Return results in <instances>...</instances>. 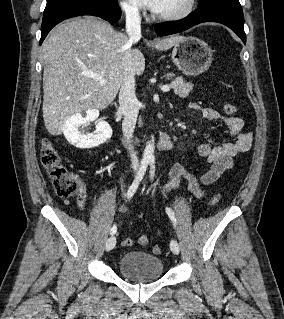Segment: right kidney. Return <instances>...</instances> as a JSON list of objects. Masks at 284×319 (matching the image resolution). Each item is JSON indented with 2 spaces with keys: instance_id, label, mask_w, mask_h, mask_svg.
<instances>
[{
  "instance_id": "ca27d5eb",
  "label": "right kidney",
  "mask_w": 284,
  "mask_h": 319,
  "mask_svg": "<svg viewBox=\"0 0 284 319\" xmlns=\"http://www.w3.org/2000/svg\"><path fill=\"white\" fill-rule=\"evenodd\" d=\"M99 117V110H86L84 113H76L71 116L63 127L65 138L72 145L85 149L97 147L106 142L112 136V129L106 121L97 120ZM96 121L95 131L92 133H85L80 128L90 122Z\"/></svg>"
}]
</instances>
